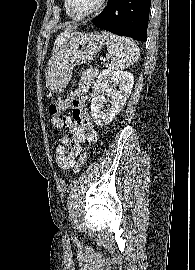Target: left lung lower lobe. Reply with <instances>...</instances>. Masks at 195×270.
I'll return each instance as SVG.
<instances>
[{"label": "left lung lower lobe", "mask_w": 195, "mask_h": 270, "mask_svg": "<svg viewBox=\"0 0 195 270\" xmlns=\"http://www.w3.org/2000/svg\"><path fill=\"white\" fill-rule=\"evenodd\" d=\"M150 5L151 0H109L93 24L121 36L145 41Z\"/></svg>", "instance_id": "1"}]
</instances>
